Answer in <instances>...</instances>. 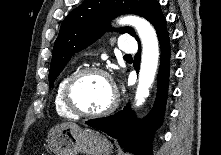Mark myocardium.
I'll list each match as a JSON object with an SVG mask.
<instances>
[{"mask_svg": "<svg viewBox=\"0 0 221 155\" xmlns=\"http://www.w3.org/2000/svg\"><path fill=\"white\" fill-rule=\"evenodd\" d=\"M90 74H98L104 76L105 78L108 79V81L111 83L113 87V98L111 103L105 109L98 112H86L80 109L74 102L72 96L73 89L75 85L78 83V81ZM63 102L66 108L76 116L85 117V118H100L111 114L117 108L119 103V93L111 79V76L106 70L100 67L91 66V67L82 68L74 72L70 76L63 89Z\"/></svg>", "mask_w": 221, "mask_h": 155, "instance_id": "1", "label": "myocardium"}]
</instances>
